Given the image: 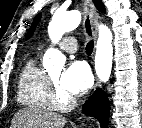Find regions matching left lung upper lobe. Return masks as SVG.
<instances>
[{"mask_svg":"<svg viewBox=\"0 0 142 128\" xmlns=\"http://www.w3.org/2000/svg\"><path fill=\"white\" fill-rule=\"evenodd\" d=\"M95 5H96V7H97V9L99 11H101V12L104 11V5L101 3L100 0H95ZM40 17H41V15H38L35 18V20L33 21L32 25L30 27V30H29V32L27 34V38H29L32 35V33H33L34 29H35V26H36L37 22L39 21Z\"/></svg>","mask_w":142,"mask_h":128,"instance_id":"1","label":"left lung upper lobe"}]
</instances>
